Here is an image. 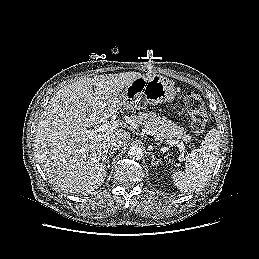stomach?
Masks as SVG:
<instances>
[{
    "label": "stomach",
    "mask_w": 259,
    "mask_h": 259,
    "mask_svg": "<svg viewBox=\"0 0 259 259\" xmlns=\"http://www.w3.org/2000/svg\"><path fill=\"white\" fill-rule=\"evenodd\" d=\"M120 97L127 109L139 110L149 105L172 102L175 88L165 77L142 75L126 86Z\"/></svg>",
    "instance_id": "0dacf381"
}]
</instances>
